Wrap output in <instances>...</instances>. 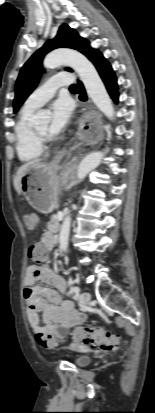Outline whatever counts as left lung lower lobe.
<instances>
[{
	"label": "left lung lower lobe",
	"instance_id": "1",
	"mask_svg": "<svg viewBox=\"0 0 155 413\" xmlns=\"http://www.w3.org/2000/svg\"><path fill=\"white\" fill-rule=\"evenodd\" d=\"M91 62L95 65L96 69L98 70L111 98L115 102H118L117 79L114 75L111 65L107 62V60L103 57V55L100 52L91 60ZM78 87L80 93V100H87L86 93L81 82L78 83Z\"/></svg>",
	"mask_w": 155,
	"mask_h": 413
}]
</instances>
